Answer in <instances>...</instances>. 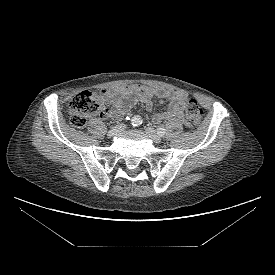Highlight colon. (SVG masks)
Returning a JSON list of instances; mask_svg holds the SVG:
<instances>
[{"label": "colon", "instance_id": "obj_1", "mask_svg": "<svg viewBox=\"0 0 275 275\" xmlns=\"http://www.w3.org/2000/svg\"><path fill=\"white\" fill-rule=\"evenodd\" d=\"M70 123L77 128L85 126L90 115L106 110L103 95L97 92L83 91L75 95L69 102ZM187 121L192 126H197L202 118L203 111L196 100L187 99Z\"/></svg>", "mask_w": 275, "mask_h": 275}]
</instances>
